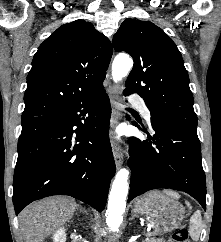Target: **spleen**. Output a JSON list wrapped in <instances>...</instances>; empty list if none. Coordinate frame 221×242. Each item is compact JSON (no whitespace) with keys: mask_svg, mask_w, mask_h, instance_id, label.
Returning <instances> with one entry per match:
<instances>
[{"mask_svg":"<svg viewBox=\"0 0 221 242\" xmlns=\"http://www.w3.org/2000/svg\"><path fill=\"white\" fill-rule=\"evenodd\" d=\"M164 193L167 196H170V197H173V198H176V199L180 198V195L173 190L166 189V190H164ZM186 204L189 207V209H191L190 204L188 202H186ZM190 222H191L190 228H189L190 236L194 241H197L199 239L200 231H201V215H200V212H195L194 215L191 217Z\"/></svg>","mask_w":221,"mask_h":242,"instance_id":"spleen-1","label":"spleen"}]
</instances>
